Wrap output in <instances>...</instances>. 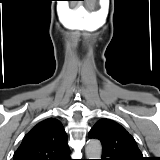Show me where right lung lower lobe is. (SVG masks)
I'll list each match as a JSON object with an SVG mask.
<instances>
[{
	"label": "right lung lower lobe",
	"instance_id": "98d812e1",
	"mask_svg": "<svg viewBox=\"0 0 160 160\" xmlns=\"http://www.w3.org/2000/svg\"><path fill=\"white\" fill-rule=\"evenodd\" d=\"M66 159H67V160H71L70 157H69V158H66Z\"/></svg>",
	"mask_w": 160,
	"mask_h": 160
}]
</instances>
